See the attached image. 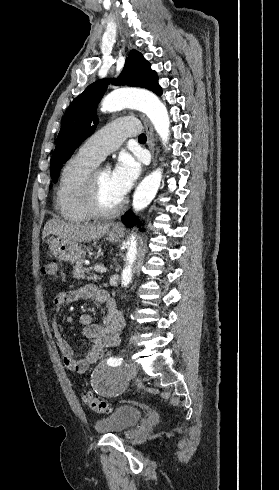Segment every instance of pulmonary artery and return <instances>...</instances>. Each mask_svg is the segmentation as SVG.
<instances>
[{
    "mask_svg": "<svg viewBox=\"0 0 279 490\" xmlns=\"http://www.w3.org/2000/svg\"><path fill=\"white\" fill-rule=\"evenodd\" d=\"M141 128V123L135 117H118L115 122L89 136L79 148V153L98 164L117 149L125 137L136 134Z\"/></svg>",
    "mask_w": 279,
    "mask_h": 490,
    "instance_id": "pulmonary-artery-1",
    "label": "pulmonary artery"
}]
</instances>
